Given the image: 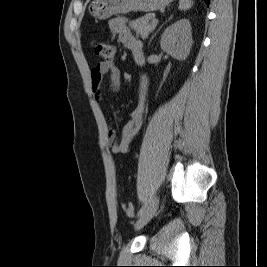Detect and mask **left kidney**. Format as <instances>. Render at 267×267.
<instances>
[{
	"label": "left kidney",
	"mask_w": 267,
	"mask_h": 267,
	"mask_svg": "<svg viewBox=\"0 0 267 267\" xmlns=\"http://www.w3.org/2000/svg\"><path fill=\"white\" fill-rule=\"evenodd\" d=\"M191 24L180 19L168 26L161 36V49L177 60H185L192 48Z\"/></svg>",
	"instance_id": "obj_1"
}]
</instances>
